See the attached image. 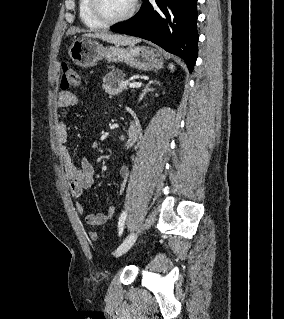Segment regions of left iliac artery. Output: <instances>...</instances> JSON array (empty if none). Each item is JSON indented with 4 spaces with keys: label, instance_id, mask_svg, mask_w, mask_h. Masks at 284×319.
I'll list each match as a JSON object with an SVG mask.
<instances>
[{
    "label": "left iliac artery",
    "instance_id": "44dca946",
    "mask_svg": "<svg viewBox=\"0 0 284 319\" xmlns=\"http://www.w3.org/2000/svg\"><path fill=\"white\" fill-rule=\"evenodd\" d=\"M126 211L122 212V214L119 217V221H118V230H119V235L122 234L123 232V228H124V224H125V220H126Z\"/></svg>",
    "mask_w": 284,
    "mask_h": 319
}]
</instances>
